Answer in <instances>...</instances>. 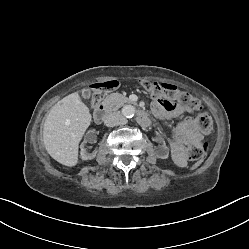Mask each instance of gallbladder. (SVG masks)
Returning a JSON list of instances; mask_svg holds the SVG:
<instances>
[{"label": "gallbladder", "instance_id": "bac80fb5", "mask_svg": "<svg viewBox=\"0 0 249 249\" xmlns=\"http://www.w3.org/2000/svg\"><path fill=\"white\" fill-rule=\"evenodd\" d=\"M81 92L84 99H90L91 91L89 89H83Z\"/></svg>", "mask_w": 249, "mask_h": 249}]
</instances>
